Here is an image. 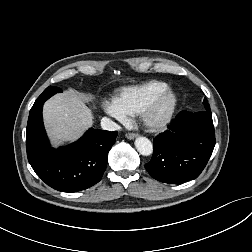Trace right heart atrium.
<instances>
[{
    "label": "right heart atrium",
    "instance_id": "1",
    "mask_svg": "<svg viewBox=\"0 0 252 252\" xmlns=\"http://www.w3.org/2000/svg\"><path fill=\"white\" fill-rule=\"evenodd\" d=\"M104 107L108 114L120 122H125L127 120L126 115L115 104L105 103Z\"/></svg>",
    "mask_w": 252,
    "mask_h": 252
}]
</instances>
